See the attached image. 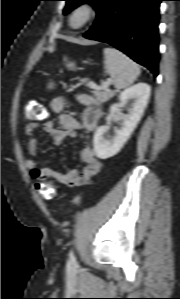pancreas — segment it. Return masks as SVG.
I'll use <instances>...</instances> for the list:
<instances>
[{
	"instance_id": "cf45deb5",
	"label": "pancreas",
	"mask_w": 180,
	"mask_h": 299,
	"mask_svg": "<svg viewBox=\"0 0 180 299\" xmlns=\"http://www.w3.org/2000/svg\"><path fill=\"white\" fill-rule=\"evenodd\" d=\"M114 94L110 91L104 90V91H96L95 92V96H96V100L104 103L106 102L108 99H110Z\"/></svg>"
}]
</instances>
